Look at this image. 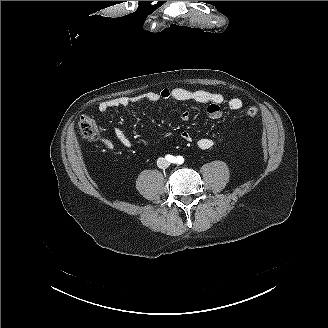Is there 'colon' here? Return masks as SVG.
<instances>
[{
	"label": "colon",
	"instance_id": "1",
	"mask_svg": "<svg viewBox=\"0 0 328 328\" xmlns=\"http://www.w3.org/2000/svg\"><path fill=\"white\" fill-rule=\"evenodd\" d=\"M246 114L249 117H255L258 114V109L255 106H250L246 109ZM79 129L81 134L86 139H94L98 135V126L95 120L89 116H81L79 119Z\"/></svg>",
	"mask_w": 328,
	"mask_h": 328
}]
</instances>
